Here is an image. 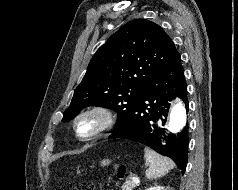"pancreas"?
Wrapping results in <instances>:
<instances>
[{
    "mask_svg": "<svg viewBox=\"0 0 238 190\" xmlns=\"http://www.w3.org/2000/svg\"><path fill=\"white\" fill-rule=\"evenodd\" d=\"M138 185H139V182H137L136 179L130 176L122 185V190H133Z\"/></svg>",
    "mask_w": 238,
    "mask_h": 190,
    "instance_id": "pancreas-1",
    "label": "pancreas"
}]
</instances>
